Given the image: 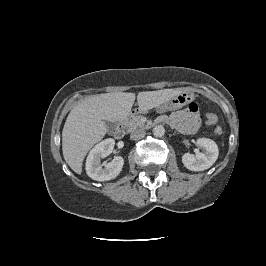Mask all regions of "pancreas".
Listing matches in <instances>:
<instances>
[{"label": "pancreas", "instance_id": "obj_1", "mask_svg": "<svg viewBox=\"0 0 266 266\" xmlns=\"http://www.w3.org/2000/svg\"><path fill=\"white\" fill-rule=\"evenodd\" d=\"M129 131H132L136 128L144 127V123L141 121V116H133L127 123Z\"/></svg>", "mask_w": 266, "mask_h": 266}]
</instances>
